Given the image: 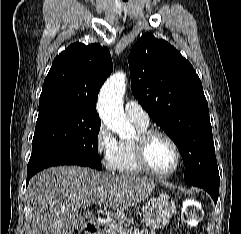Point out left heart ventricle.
<instances>
[{
    "instance_id": "b2bd125f",
    "label": "left heart ventricle",
    "mask_w": 241,
    "mask_h": 234,
    "mask_svg": "<svg viewBox=\"0 0 241 234\" xmlns=\"http://www.w3.org/2000/svg\"><path fill=\"white\" fill-rule=\"evenodd\" d=\"M148 159L155 170L167 172L176 163V153L173 146L165 138L156 137L149 145Z\"/></svg>"
}]
</instances>
